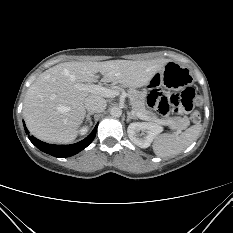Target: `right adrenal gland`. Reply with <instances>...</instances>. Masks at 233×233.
Segmentation results:
<instances>
[{
	"instance_id": "right-adrenal-gland-1",
	"label": "right adrenal gland",
	"mask_w": 233,
	"mask_h": 233,
	"mask_svg": "<svg viewBox=\"0 0 233 233\" xmlns=\"http://www.w3.org/2000/svg\"><path fill=\"white\" fill-rule=\"evenodd\" d=\"M91 115H93V113H88L86 115V121L89 122V123H91V117H90Z\"/></svg>"
}]
</instances>
